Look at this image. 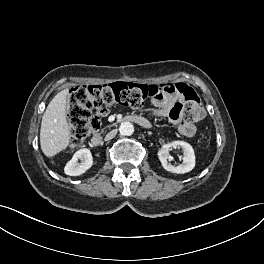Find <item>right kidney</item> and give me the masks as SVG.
Masks as SVG:
<instances>
[{"mask_svg":"<svg viewBox=\"0 0 264 264\" xmlns=\"http://www.w3.org/2000/svg\"><path fill=\"white\" fill-rule=\"evenodd\" d=\"M81 160V163L78 162ZM93 165V157L89 149L76 151L70 161L64 167V173L69 176H79L85 173Z\"/></svg>","mask_w":264,"mask_h":264,"instance_id":"obj_1","label":"right kidney"}]
</instances>
